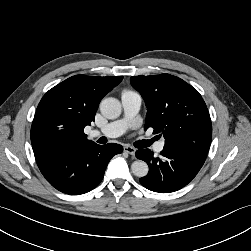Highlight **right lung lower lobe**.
<instances>
[{"label":"right lung lower lobe","instance_id":"obj_1","mask_svg":"<svg viewBox=\"0 0 251 251\" xmlns=\"http://www.w3.org/2000/svg\"><path fill=\"white\" fill-rule=\"evenodd\" d=\"M123 151L121 145L89 143L58 151L35 154L46 180L57 190L79 195L94 189L103 179L111 158Z\"/></svg>","mask_w":251,"mask_h":251}]
</instances>
